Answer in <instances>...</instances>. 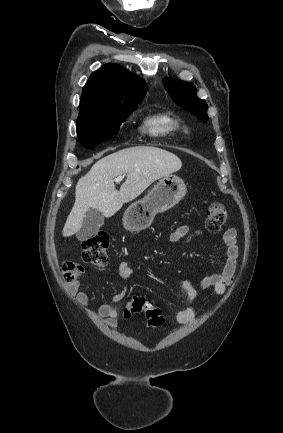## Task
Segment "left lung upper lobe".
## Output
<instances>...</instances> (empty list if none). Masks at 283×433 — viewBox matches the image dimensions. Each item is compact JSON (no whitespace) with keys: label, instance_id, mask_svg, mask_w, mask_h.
Returning a JSON list of instances; mask_svg holds the SVG:
<instances>
[{"label":"left lung upper lobe","instance_id":"obj_1","mask_svg":"<svg viewBox=\"0 0 283 433\" xmlns=\"http://www.w3.org/2000/svg\"><path fill=\"white\" fill-rule=\"evenodd\" d=\"M163 84L169 95L180 107L204 121L208 120V105L205 100L197 97V90L192 83L164 78Z\"/></svg>","mask_w":283,"mask_h":433}]
</instances>
